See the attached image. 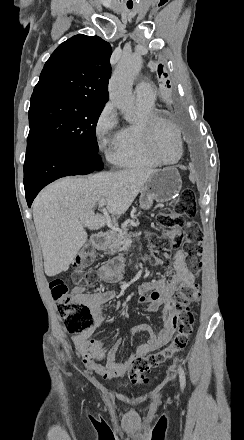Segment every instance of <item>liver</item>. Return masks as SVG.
Instances as JSON below:
<instances>
[{"label":"liver","instance_id":"obj_1","mask_svg":"<svg viewBox=\"0 0 244 440\" xmlns=\"http://www.w3.org/2000/svg\"><path fill=\"white\" fill-rule=\"evenodd\" d=\"M157 170L130 168L99 172L94 176H68L44 188L33 202V220L41 244L46 276H57L74 262L89 230L109 222V214L122 216L130 208L148 178ZM105 200L101 214H94Z\"/></svg>","mask_w":244,"mask_h":440}]
</instances>
